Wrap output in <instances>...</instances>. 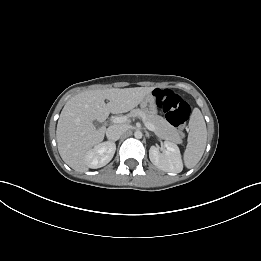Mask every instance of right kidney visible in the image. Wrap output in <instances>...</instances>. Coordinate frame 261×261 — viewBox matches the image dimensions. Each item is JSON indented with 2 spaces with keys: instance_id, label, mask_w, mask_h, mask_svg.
I'll list each match as a JSON object with an SVG mask.
<instances>
[{
  "instance_id": "1",
  "label": "right kidney",
  "mask_w": 261,
  "mask_h": 261,
  "mask_svg": "<svg viewBox=\"0 0 261 261\" xmlns=\"http://www.w3.org/2000/svg\"><path fill=\"white\" fill-rule=\"evenodd\" d=\"M116 150V145L112 141L103 142L94 146L86 154V165L89 168L97 169L108 164L113 158Z\"/></svg>"
}]
</instances>
